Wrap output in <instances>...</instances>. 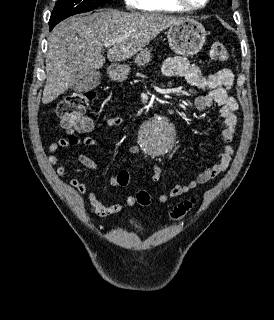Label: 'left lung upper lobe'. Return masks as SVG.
I'll return each instance as SVG.
<instances>
[{
    "instance_id": "obj_1",
    "label": "left lung upper lobe",
    "mask_w": 274,
    "mask_h": 320,
    "mask_svg": "<svg viewBox=\"0 0 274 320\" xmlns=\"http://www.w3.org/2000/svg\"><path fill=\"white\" fill-rule=\"evenodd\" d=\"M227 1H228V3L231 5V1H232V0H227Z\"/></svg>"
}]
</instances>
